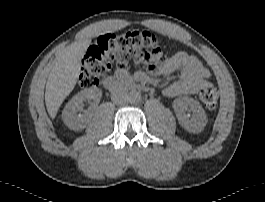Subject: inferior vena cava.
I'll return each mask as SVG.
<instances>
[{"label":"inferior vena cava","instance_id":"inferior-vena-cava-1","mask_svg":"<svg viewBox=\"0 0 265 202\" xmlns=\"http://www.w3.org/2000/svg\"><path fill=\"white\" fill-rule=\"evenodd\" d=\"M129 93L123 87H118L111 93V99L115 104H124L128 101Z\"/></svg>","mask_w":265,"mask_h":202}]
</instances>
